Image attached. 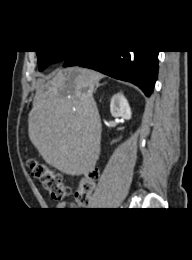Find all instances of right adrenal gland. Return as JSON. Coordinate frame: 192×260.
<instances>
[{
    "instance_id": "obj_1",
    "label": "right adrenal gland",
    "mask_w": 192,
    "mask_h": 260,
    "mask_svg": "<svg viewBox=\"0 0 192 260\" xmlns=\"http://www.w3.org/2000/svg\"><path fill=\"white\" fill-rule=\"evenodd\" d=\"M101 85H103V84H99V83L96 84V87H95V89H94V93L96 92V90L98 89V87H100Z\"/></svg>"
}]
</instances>
